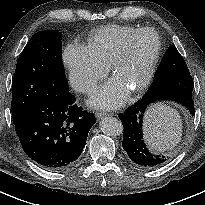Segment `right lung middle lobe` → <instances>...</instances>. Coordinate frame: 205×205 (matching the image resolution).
Segmentation results:
<instances>
[{"mask_svg":"<svg viewBox=\"0 0 205 205\" xmlns=\"http://www.w3.org/2000/svg\"><path fill=\"white\" fill-rule=\"evenodd\" d=\"M61 32L40 31L23 49L12 80V118L18 123L42 100L69 91L62 65Z\"/></svg>","mask_w":205,"mask_h":205,"instance_id":"right-lung-middle-lobe-1","label":"right lung middle lobe"}]
</instances>
